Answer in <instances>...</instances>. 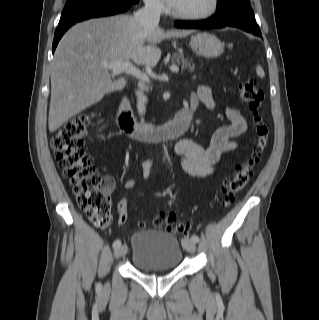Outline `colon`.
<instances>
[{
  "instance_id": "5ec220e1",
  "label": "colon",
  "mask_w": 319,
  "mask_h": 320,
  "mask_svg": "<svg viewBox=\"0 0 319 320\" xmlns=\"http://www.w3.org/2000/svg\"><path fill=\"white\" fill-rule=\"evenodd\" d=\"M242 100L248 105L255 126L256 139L248 158L240 164L233 176L221 188L224 205H230L235 195L249 182L253 168L261 160L266 148L269 129L263 119V92L254 79L244 81L239 88ZM90 116L78 115L62 125L51 141L56 158L66 177L74 183V194L79 207L88 219L97 226L106 225L111 219L110 193L113 182L108 176L99 174L83 148ZM126 213H119L118 223L125 225ZM158 229L188 235V225L179 220L174 213L158 214L153 219Z\"/></svg>"
}]
</instances>
